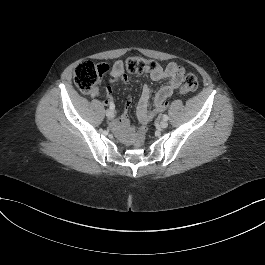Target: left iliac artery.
I'll return each instance as SVG.
<instances>
[{
  "instance_id": "1",
  "label": "left iliac artery",
  "mask_w": 265,
  "mask_h": 265,
  "mask_svg": "<svg viewBox=\"0 0 265 265\" xmlns=\"http://www.w3.org/2000/svg\"><path fill=\"white\" fill-rule=\"evenodd\" d=\"M163 119L167 121L169 118L167 115H163Z\"/></svg>"
}]
</instances>
